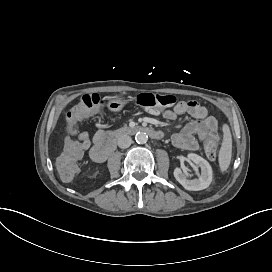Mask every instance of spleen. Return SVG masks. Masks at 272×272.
Listing matches in <instances>:
<instances>
[{"label": "spleen", "instance_id": "spleen-1", "mask_svg": "<svg viewBox=\"0 0 272 272\" xmlns=\"http://www.w3.org/2000/svg\"><path fill=\"white\" fill-rule=\"evenodd\" d=\"M223 130V141L219 151L218 160L220 170L222 172L226 171L231 162L232 156V136L230 128L227 124H224L222 127Z\"/></svg>", "mask_w": 272, "mask_h": 272}]
</instances>
